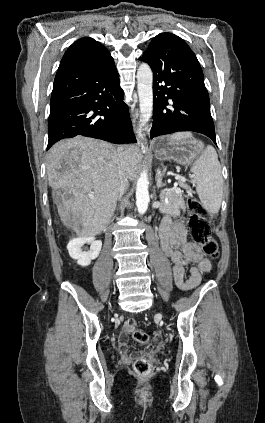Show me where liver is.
Returning a JSON list of instances; mask_svg holds the SVG:
<instances>
[{
	"label": "liver",
	"instance_id": "obj_1",
	"mask_svg": "<svg viewBox=\"0 0 265 423\" xmlns=\"http://www.w3.org/2000/svg\"><path fill=\"white\" fill-rule=\"evenodd\" d=\"M140 159L134 145L116 148L83 136L53 145L46 171L53 196L59 198L55 202L62 223L79 237L102 232L116 208L120 162H125L127 175L133 179Z\"/></svg>",
	"mask_w": 265,
	"mask_h": 423
}]
</instances>
